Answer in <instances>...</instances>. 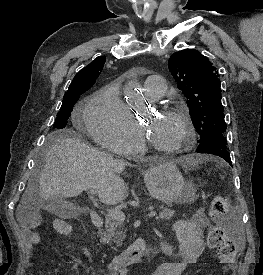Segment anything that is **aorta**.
Returning <instances> with one entry per match:
<instances>
[{"mask_svg":"<svg viewBox=\"0 0 263 275\" xmlns=\"http://www.w3.org/2000/svg\"><path fill=\"white\" fill-rule=\"evenodd\" d=\"M141 86L138 80L130 79L124 87V95L128 102L140 98Z\"/></svg>","mask_w":263,"mask_h":275,"instance_id":"obj_1","label":"aorta"}]
</instances>
